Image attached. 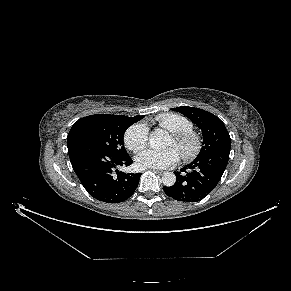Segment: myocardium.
Listing matches in <instances>:
<instances>
[{"label": "myocardium", "instance_id": "myocardium-1", "mask_svg": "<svg viewBox=\"0 0 291 291\" xmlns=\"http://www.w3.org/2000/svg\"><path fill=\"white\" fill-rule=\"evenodd\" d=\"M176 146L180 149L184 160L195 158L202 147V137L193 130L172 133Z\"/></svg>", "mask_w": 291, "mask_h": 291}]
</instances>
